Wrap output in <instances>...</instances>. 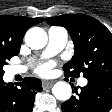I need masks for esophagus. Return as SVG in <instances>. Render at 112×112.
Masks as SVG:
<instances>
[{"mask_svg":"<svg viewBox=\"0 0 112 112\" xmlns=\"http://www.w3.org/2000/svg\"><path fill=\"white\" fill-rule=\"evenodd\" d=\"M53 84H54V81H52V80H50V81H48V80L42 81V87L44 89L51 88Z\"/></svg>","mask_w":112,"mask_h":112,"instance_id":"obj_1","label":"esophagus"}]
</instances>
